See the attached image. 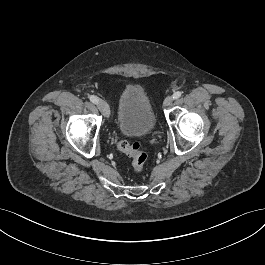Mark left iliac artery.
Here are the masks:
<instances>
[{
	"label": "left iliac artery",
	"instance_id": "44dca946",
	"mask_svg": "<svg viewBox=\"0 0 265 265\" xmlns=\"http://www.w3.org/2000/svg\"><path fill=\"white\" fill-rule=\"evenodd\" d=\"M181 95H182V92H181V91H177V92H175V93L172 95V97H173V99H178V98L181 97Z\"/></svg>",
	"mask_w": 265,
	"mask_h": 265
}]
</instances>
